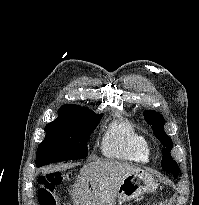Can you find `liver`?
<instances>
[{
  "instance_id": "6515ba94",
  "label": "liver",
  "mask_w": 199,
  "mask_h": 205,
  "mask_svg": "<svg viewBox=\"0 0 199 205\" xmlns=\"http://www.w3.org/2000/svg\"><path fill=\"white\" fill-rule=\"evenodd\" d=\"M138 172L143 171L124 162L97 160L86 164L72 186L74 205H114L123 178Z\"/></svg>"
}]
</instances>
